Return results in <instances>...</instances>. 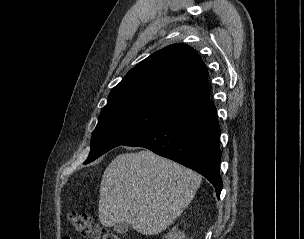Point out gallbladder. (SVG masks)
Wrapping results in <instances>:
<instances>
[{
	"label": "gallbladder",
	"instance_id": "bac80fb5",
	"mask_svg": "<svg viewBox=\"0 0 304 239\" xmlns=\"http://www.w3.org/2000/svg\"><path fill=\"white\" fill-rule=\"evenodd\" d=\"M128 229H129V224L126 222L117 223L114 226V230L119 234L127 233Z\"/></svg>",
	"mask_w": 304,
	"mask_h": 239
}]
</instances>
